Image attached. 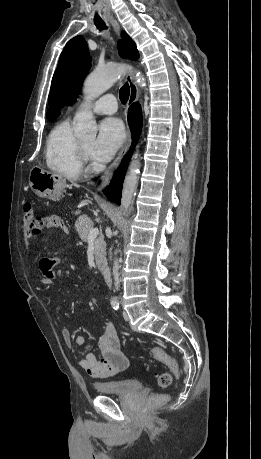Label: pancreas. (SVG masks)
<instances>
[{
    "label": "pancreas",
    "instance_id": "obj_1",
    "mask_svg": "<svg viewBox=\"0 0 261 459\" xmlns=\"http://www.w3.org/2000/svg\"><path fill=\"white\" fill-rule=\"evenodd\" d=\"M75 228L81 240L87 242L89 230L93 228V222L87 215H83L76 220ZM94 254L96 264L100 266L101 263L105 260L106 255V244L104 242V236L102 233H100L99 236L94 240Z\"/></svg>",
    "mask_w": 261,
    "mask_h": 459
}]
</instances>
